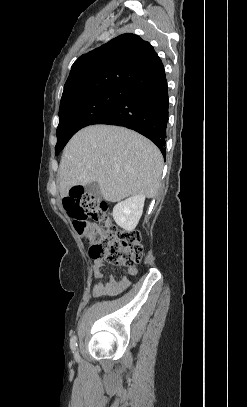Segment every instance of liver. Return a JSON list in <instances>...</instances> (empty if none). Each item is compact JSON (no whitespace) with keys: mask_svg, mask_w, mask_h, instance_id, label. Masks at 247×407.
Masks as SVG:
<instances>
[{"mask_svg":"<svg viewBox=\"0 0 247 407\" xmlns=\"http://www.w3.org/2000/svg\"><path fill=\"white\" fill-rule=\"evenodd\" d=\"M163 157L144 136L119 126L92 125L66 145L59 167L61 197L72 186L97 182L103 198L117 202L131 195L154 198Z\"/></svg>","mask_w":247,"mask_h":407,"instance_id":"liver-1","label":"liver"}]
</instances>
